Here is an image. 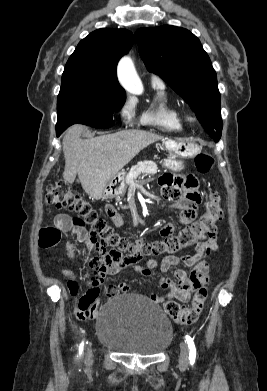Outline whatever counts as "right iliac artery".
I'll return each instance as SVG.
<instances>
[{
  "label": "right iliac artery",
  "instance_id": "1",
  "mask_svg": "<svg viewBox=\"0 0 267 391\" xmlns=\"http://www.w3.org/2000/svg\"><path fill=\"white\" fill-rule=\"evenodd\" d=\"M82 350H83V343H81L80 348H79L80 354L82 353Z\"/></svg>",
  "mask_w": 267,
  "mask_h": 391
}]
</instances>
